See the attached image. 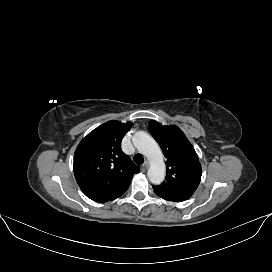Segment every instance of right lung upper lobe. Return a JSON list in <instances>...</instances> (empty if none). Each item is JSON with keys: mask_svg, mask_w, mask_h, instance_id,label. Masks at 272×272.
Returning a JSON list of instances; mask_svg holds the SVG:
<instances>
[{"mask_svg": "<svg viewBox=\"0 0 272 272\" xmlns=\"http://www.w3.org/2000/svg\"><path fill=\"white\" fill-rule=\"evenodd\" d=\"M131 122L108 121L90 132L74 154V174L82 192L97 202L120 197L139 168L121 150Z\"/></svg>", "mask_w": 272, "mask_h": 272, "instance_id": "1", "label": "right lung upper lobe"}]
</instances>
